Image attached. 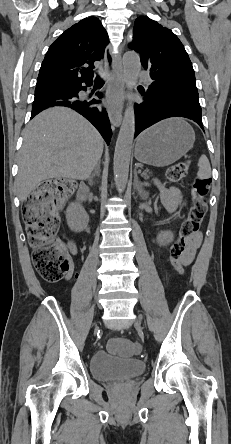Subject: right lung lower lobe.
<instances>
[{"label": "right lung lower lobe", "mask_w": 231, "mask_h": 444, "mask_svg": "<svg viewBox=\"0 0 231 444\" xmlns=\"http://www.w3.org/2000/svg\"><path fill=\"white\" fill-rule=\"evenodd\" d=\"M82 83L35 92L31 118L49 107H70L87 118L98 129L107 144H109L112 131L108 115L105 109L96 106L99 103L98 100L82 99L78 96L80 90H85V87L81 85ZM84 83L87 86H91L92 80L85 81ZM97 95L101 97L100 93H97Z\"/></svg>", "instance_id": "obj_1"}]
</instances>
